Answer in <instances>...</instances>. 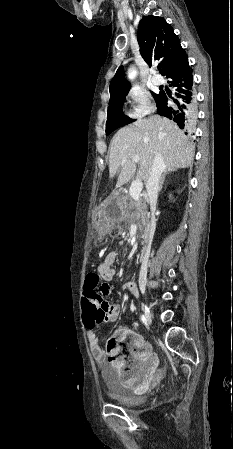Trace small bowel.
I'll list each match as a JSON object with an SVG mask.
<instances>
[{
  "mask_svg": "<svg viewBox=\"0 0 233 449\" xmlns=\"http://www.w3.org/2000/svg\"><path fill=\"white\" fill-rule=\"evenodd\" d=\"M118 260V253L116 251H110L104 261L98 265L97 272L101 278L100 286L98 290L101 292L99 298L100 306L104 308L103 322H111L118 318L120 313V306L114 304L111 298L113 296L112 288L107 282H110L116 273L114 268L115 263ZM123 291L125 293H131L132 295H138V284L124 285ZM87 330L88 341L90 348L96 363L99 365L101 373L106 375L109 371H113L119 378L122 385L138 390L136 397L138 399H145L147 392L142 390L147 387L149 382L154 377V372L158 365V357L150 344L145 342L139 334L133 333V342L131 344L133 348V361L130 366H127L124 358L120 357L117 361H111L107 351H105L99 342V338L96 333V328H85ZM130 372V374H128Z\"/></svg>",
  "mask_w": 233,
  "mask_h": 449,
  "instance_id": "obj_1",
  "label": "small bowel"
}]
</instances>
